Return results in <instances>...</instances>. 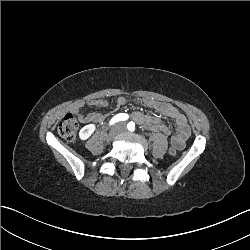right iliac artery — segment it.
I'll return each mask as SVG.
<instances>
[{
	"label": "right iliac artery",
	"instance_id": "obj_1",
	"mask_svg": "<svg viewBox=\"0 0 250 250\" xmlns=\"http://www.w3.org/2000/svg\"><path fill=\"white\" fill-rule=\"evenodd\" d=\"M128 119V114H125V113H120V114H117L115 115L111 121H110V125L116 123V122H119V121H125Z\"/></svg>",
	"mask_w": 250,
	"mask_h": 250
}]
</instances>
